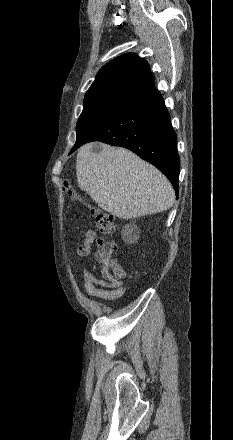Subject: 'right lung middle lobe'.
I'll list each match as a JSON object with an SVG mask.
<instances>
[{
	"instance_id": "right-lung-middle-lobe-1",
	"label": "right lung middle lobe",
	"mask_w": 233,
	"mask_h": 440,
	"mask_svg": "<svg viewBox=\"0 0 233 440\" xmlns=\"http://www.w3.org/2000/svg\"><path fill=\"white\" fill-rule=\"evenodd\" d=\"M124 105L125 103L115 101L84 102L83 112L76 126V143L103 125Z\"/></svg>"
}]
</instances>
